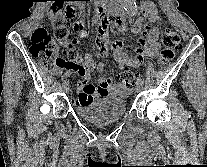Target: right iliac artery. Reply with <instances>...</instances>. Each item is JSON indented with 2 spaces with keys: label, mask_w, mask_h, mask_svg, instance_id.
I'll return each instance as SVG.
<instances>
[{
  "label": "right iliac artery",
  "mask_w": 207,
  "mask_h": 167,
  "mask_svg": "<svg viewBox=\"0 0 207 167\" xmlns=\"http://www.w3.org/2000/svg\"><path fill=\"white\" fill-rule=\"evenodd\" d=\"M67 84H68V81H64L63 85L65 86V85H67Z\"/></svg>",
  "instance_id": "82829eb1"
}]
</instances>
